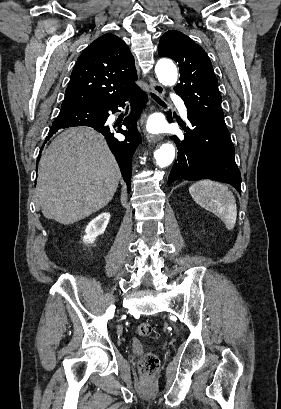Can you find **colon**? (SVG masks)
I'll return each mask as SVG.
<instances>
[{
    "mask_svg": "<svg viewBox=\"0 0 281 409\" xmlns=\"http://www.w3.org/2000/svg\"><path fill=\"white\" fill-rule=\"evenodd\" d=\"M137 334L143 337H148L151 334V325L149 323H141L137 326ZM158 359L154 354H146L140 361L141 371L144 373L154 371L158 366Z\"/></svg>",
    "mask_w": 281,
    "mask_h": 409,
    "instance_id": "obj_1",
    "label": "colon"
}]
</instances>
